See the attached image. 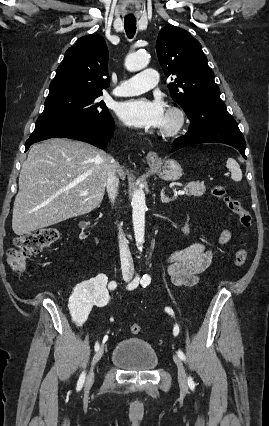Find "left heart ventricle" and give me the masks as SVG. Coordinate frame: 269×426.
Returning <instances> with one entry per match:
<instances>
[{
    "mask_svg": "<svg viewBox=\"0 0 269 426\" xmlns=\"http://www.w3.org/2000/svg\"><path fill=\"white\" fill-rule=\"evenodd\" d=\"M166 123H167V119H165V122H164L163 126H164Z\"/></svg>",
    "mask_w": 269,
    "mask_h": 426,
    "instance_id": "left-heart-ventricle-1",
    "label": "left heart ventricle"
}]
</instances>
